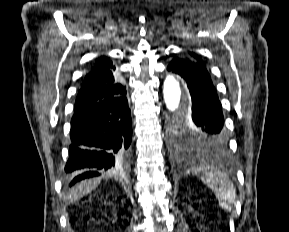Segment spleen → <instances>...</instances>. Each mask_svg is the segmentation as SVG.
Here are the masks:
<instances>
[{
	"mask_svg": "<svg viewBox=\"0 0 289 232\" xmlns=\"http://www.w3.org/2000/svg\"><path fill=\"white\" fill-rule=\"evenodd\" d=\"M202 181L215 193L220 206L231 212L236 204V189L226 174L209 172Z\"/></svg>",
	"mask_w": 289,
	"mask_h": 232,
	"instance_id": "3e777b00",
	"label": "spleen"
}]
</instances>
